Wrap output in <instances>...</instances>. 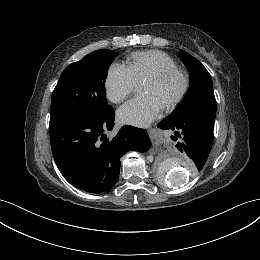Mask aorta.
Listing matches in <instances>:
<instances>
[{
  "label": "aorta",
  "instance_id": "aorta-1",
  "mask_svg": "<svg viewBox=\"0 0 260 260\" xmlns=\"http://www.w3.org/2000/svg\"><path fill=\"white\" fill-rule=\"evenodd\" d=\"M158 174L169 185H179L187 181L190 177L187 160L174 155L166 159L157 168Z\"/></svg>",
  "mask_w": 260,
  "mask_h": 260
}]
</instances>
